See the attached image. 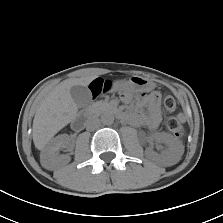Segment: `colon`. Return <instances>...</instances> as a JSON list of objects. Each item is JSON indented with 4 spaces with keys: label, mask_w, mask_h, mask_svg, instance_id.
Listing matches in <instances>:
<instances>
[{
    "label": "colon",
    "mask_w": 223,
    "mask_h": 223,
    "mask_svg": "<svg viewBox=\"0 0 223 223\" xmlns=\"http://www.w3.org/2000/svg\"><path fill=\"white\" fill-rule=\"evenodd\" d=\"M98 84H94L96 87ZM101 91H107L109 89V85L104 83L100 86ZM164 107L167 111H173L176 108V101L173 97L167 96L164 99ZM166 127L177 137H182L184 135V128L182 124L174 117H167L165 119Z\"/></svg>",
    "instance_id": "colon-1"
}]
</instances>
